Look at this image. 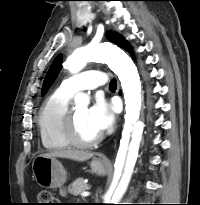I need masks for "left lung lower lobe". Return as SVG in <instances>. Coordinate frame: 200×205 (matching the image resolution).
Segmentation results:
<instances>
[{"label":"left lung lower lobe","instance_id":"obj_1","mask_svg":"<svg viewBox=\"0 0 200 205\" xmlns=\"http://www.w3.org/2000/svg\"><path fill=\"white\" fill-rule=\"evenodd\" d=\"M124 49H126V50L130 51L129 45H128V44H126V45H125V47H124Z\"/></svg>","mask_w":200,"mask_h":205}]
</instances>
